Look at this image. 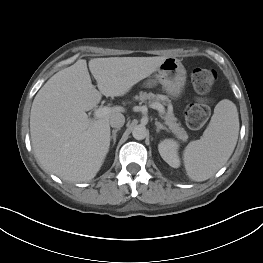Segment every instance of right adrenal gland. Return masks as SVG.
<instances>
[{"label":"right adrenal gland","mask_w":263,"mask_h":263,"mask_svg":"<svg viewBox=\"0 0 263 263\" xmlns=\"http://www.w3.org/2000/svg\"><path fill=\"white\" fill-rule=\"evenodd\" d=\"M120 130V128H117V129H114V130H112V135H111V137H110V139H113V146L115 145V143H116V134H117V132Z\"/></svg>","instance_id":"right-adrenal-gland-1"}]
</instances>
